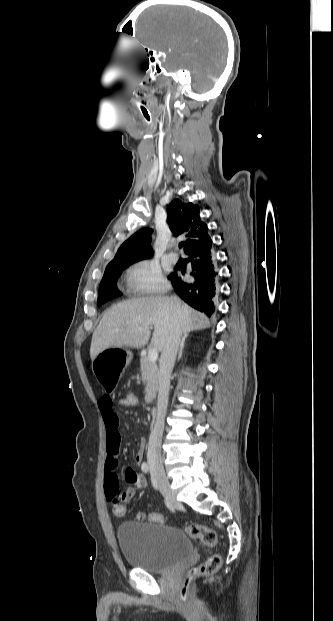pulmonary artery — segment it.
I'll list each match as a JSON object with an SVG mask.
<instances>
[{"instance_id":"pulmonary-artery-1","label":"pulmonary artery","mask_w":333,"mask_h":621,"mask_svg":"<svg viewBox=\"0 0 333 621\" xmlns=\"http://www.w3.org/2000/svg\"><path fill=\"white\" fill-rule=\"evenodd\" d=\"M167 257H168V259H169L171 262H173V263L177 262V261H178V258H179V257H178V254H177V253H175V252H170V253H168Z\"/></svg>"}]
</instances>
